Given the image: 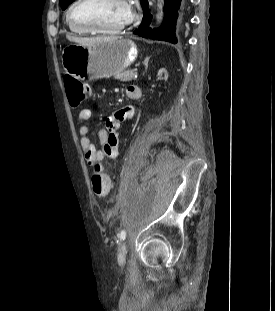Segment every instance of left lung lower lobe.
Here are the masks:
<instances>
[{"instance_id":"left-lung-lower-lobe-1","label":"left lung lower lobe","mask_w":275,"mask_h":311,"mask_svg":"<svg viewBox=\"0 0 275 311\" xmlns=\"http://www.w3.org/2000/svg\"><path fill=\"white\" fill-rule=\"evenodd\" d=\"M181 1L182 0H165L164 10L168 14L167 20L163 26L153 30L149 28L152 16L148 10V1L143 0L141 3L144 11L143 21L141 22L139 28L136 29L133 33L154 40H163L169 41L171 43H177V38H179L183 22L184 5H180Z\"/></svg>"}]
</instances>
